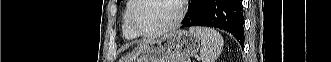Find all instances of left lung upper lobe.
I'll return each mask as SVG.
<instances>
[{
  "mask_svg": "<svg viewBox=\"0 0 331 62\" xmlns=\"http://www.w3.org/2000/svg\"><path fill=\"white\" fill-rule=\"evenodd\" d=\"M121 0H117V3H119Z\"/></svg>",
  "mask_w": 331,
  "mask_h": 62,
  "instance_id": "5c2ea615",
  "label": "left lung upper lobe"
}]
</instances>
